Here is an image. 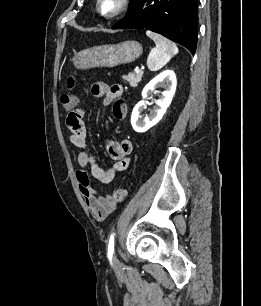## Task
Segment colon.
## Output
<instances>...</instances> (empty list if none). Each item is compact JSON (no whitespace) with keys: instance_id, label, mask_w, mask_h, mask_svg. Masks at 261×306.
<instances>
[{"instance_id":"obj_1","label":"colon","mask_w":261,"mask_h":306,"mask_svg":"<svg viewBox=\"0 0 261 306\" xmlns=\"http://www.w3.org/2000/svg\"><path fill=\"white\" fill-rule=\"evenodd\" d=\"M68 88L70 90L74 89L76 87V81L74 77L68 78ZM61 104L64 107L65 110L69 112H73L78 104V98L75 94L72 92L64 93L61 98ZM126 190L123 188H118L113 192V198L116 202H122L126 198Z\"/></svg>"}]
</instances>
